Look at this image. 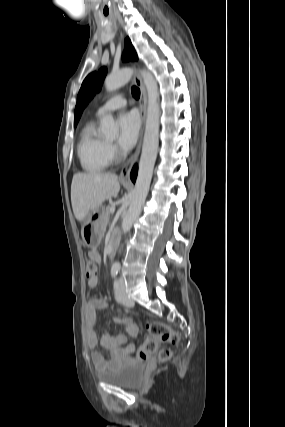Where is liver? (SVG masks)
I'll return each mask as SVG.
<instances>
[{
	"mask_svg": "<svg viewBox=\"0 0 285 427\" xmlns=\"http://www.w3.org/2000/svg\"><path fill=\"white\" fill-rule=\"evenodd\" d=\"M120 183L115 174L77 173L71 184V203L78 221H84L94 209L99 208L105 200L116 196Z\"/></svg>",
	"mask_w": 285,
	"mask_h": 427,
	"instance_id": "obj_1",
	"label": "liver"
}]
</instances>
